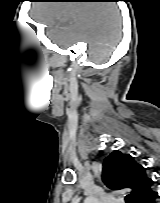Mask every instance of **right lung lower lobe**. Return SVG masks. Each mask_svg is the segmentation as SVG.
I'll list each match as a JSON object with an SVG mask.
<instances>
[{
  "mask_svg": "<svg viewBox=\"0 0 160 203\" xmlns=\"http://www.w3.org/2000/svg\"><path fill=\"white\" fill-rule=\"evenodd\" d=\"M159 198L157 192H153L149 197L143 200V203H156V200Z\"/></svg>",
  "mask_w": 160,
  "mask_h": 203,
  "instance_id": "right-lung-lower-lobe-1",
  "label": "right lung lower lobe"
}]
</instances>
